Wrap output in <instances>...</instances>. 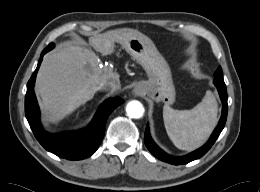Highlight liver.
Instances as JSON below:
<instances>
[{
    "mask_svg": "<svg viewBox=\"0 0 260 192\" xmlns=\"http://www.w3.org/2000/svg\"><path fill=\"white\" fill-rule=\"evenodd\" d=\"M117 38V31H109L91 37L89 43L97 52L107 55L113 52ZM101 64L92 50L70 43L46 55L35 85L42 109L55 118H64L91 100L101 83L119 79L117 73Z\"/></svg>",
    "mask_w": 260,
    "mask_h": 192,
    "instance_id": "obj_1",
    "label": "liver"
}]
</instances>
